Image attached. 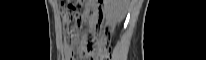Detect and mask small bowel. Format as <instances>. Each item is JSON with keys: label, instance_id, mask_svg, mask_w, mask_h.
<instances>
[{"label": "small bowel", "instance_id": "1", "mask_svg": "<svg viewBox=\"0 0 206 60\" xmlns=\"http://www.w3.org/2000/svg\"><path fill=\"white\" fill-rule=\"evenodd\" d=\"M67 56L69 57V59H73V58H72V54L67 53Z\"/></svg>", "mask_w": 206, "mask_h": 60}]
</instances>
